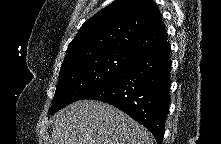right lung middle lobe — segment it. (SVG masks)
<instances>
[{
  "instance_id": "obj_1",
  "label": "right lung middle lobe",
  "mask_w": 221,
  "mask_h": 144,
  "mask_svg": "<svg viewBox=\"0 0 221 144\" xmlns=\"http://www.w3.org/2000/svg\"><path fill=\"white\" fill-rule=\"evenodd\" d=\"M138 57L127 51L109 50L61 66L49 113L81 100L89 92L112 80Z\"/></svg>"
}]
</instances>
